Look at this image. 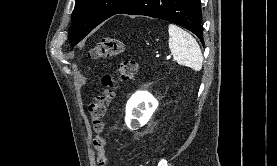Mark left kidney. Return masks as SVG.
<instances>
[{
	"mask_svg": "<svg viewBox=\"0 0 277 166\" xmlns=\"http://www.w3.org/2000/svg\"><path fill=\"white\" fill-rule=\"evenodd\" d=\"M158 107V101L147 91H137L126 104L125 123L129 129L144 126Z\"/></svg>",
	"mask_w": 277,
	"mask_h": 166,
	"instance_id": "5707ae66",
	"label": "left kidney"
}]
</instances>
